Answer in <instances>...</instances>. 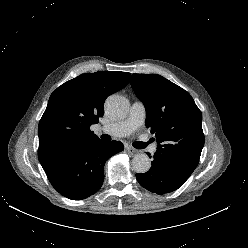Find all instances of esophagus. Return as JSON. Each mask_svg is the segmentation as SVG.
Here are the masks:
<instances>
[{"mask_svg": "<svg viewBox=\"0 0 248 248\" xmlns=\"http://www.w3.org/2000/svg\"><path fill=\"white\" fill-rule=\"evenodd\" d=\"M127 152H128V154H130V155H135V154L138 153V150H136V149H134V148H132V147H127Z\"/></svg>", "mask_w": 248, "mask_h": 248, "instance_id": "1", "label": "esophagus"}]
</instances>
